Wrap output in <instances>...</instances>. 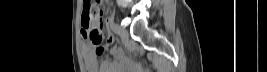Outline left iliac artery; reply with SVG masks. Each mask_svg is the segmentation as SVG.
<instances>
[{
    "label": "left iliac artery",
    "mask_w": 267,
    "mask_h": 72,
    "mask_svg": "<svg viewBox=\"0 0 267 72\" xmlns=\"http://www.w3.org/2000/svg\"><path fill=\"white\" fill-rule=\"evenodd\" d=\"M110 27L115 33H119V25L118 24L111 22Z\"/></svg>",
    "instance_id": "44dca946"
}]
</instances>
